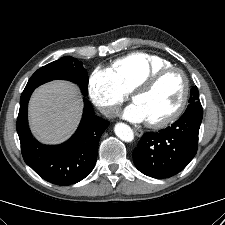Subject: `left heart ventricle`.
<instances>
[{
    "label": "left heart ventricle",
    "mask_w": 225,
    "mask_h": 225,
    "mask_svg": "<svg viewBox=\"0 0 225 225\" xmlns=\"http://www.w3.org/2000/svg\"><path fill=\"white\" fill-rule=\"evenodd\" d=\"M182 92L183 82L180 74L170 72L163 76L151 90L135 96L133 101L143 110L146 121H156L176 108Z\"/></svg>",
    "instance_id": "1"
}]
</instances>
